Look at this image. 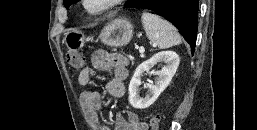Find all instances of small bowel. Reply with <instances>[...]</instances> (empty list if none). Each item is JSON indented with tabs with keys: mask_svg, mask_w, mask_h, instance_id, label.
<instances>
[{
	"mask_svg": "<svg viewBox=\"0 0 257 130\" xmlns=\"http://www.w3.org/2000/svg\"><path fill=\"white\" fill-rule=\"evenodd\" d=\"M92 67H85L78 76V82L83 91L80 95L81 103L90 119L96 124L98 130H110L103 125L98 113L102 108L101 94L89 88L94 79L96 71H109L111 78L106 82L107 92L115 97L121 98L125 93L124 80L128 76V58L119 53H108L104 50L96 51L91 58ZM115 130H148L145 122L131 111H127L125 116L121 113L117 115Z\"/></svg>",
	"mask_w": 257,
	"mask_h": 130,
	"instance_id": "1",
	"label": "small bowel"
}]
</instances>
